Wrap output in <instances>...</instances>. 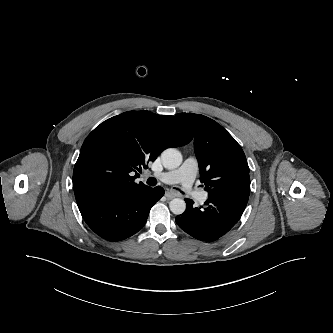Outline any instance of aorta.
Masks as SVG:
<instances>
[{"label":"aorta","instance_id":"762f6f07","mask_svg":"<svg viewBox=\"0 0 333 333\" xmlns=\"http://www.w3.org/2000/svg\"><path fill=\"white\" fill-rule=\"evenodd\" d=\"M162 164L166 169H175L182 163V155L175 148L165 149L161 154ZM170 210L173 214L180 215L186 209V203L183 199L174 198L169 203Z\"/></svg>","mask_w":333,"mask_h":333}]
</instances>
